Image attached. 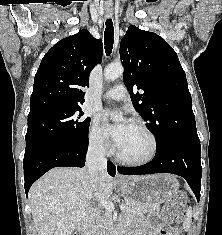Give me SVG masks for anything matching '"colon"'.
I'll use <instances>...</instances> for the list:
<instances>
[{
	"instance_id": "5ec220e1",
	"label": "colon",
	"mask_w": 222,
	"mask_h": 235,
	"mask_svg": "<svg viewBox=\"0 0 222 235\" xmlns=\"http://www.w3.org/2000/svg\"><path fill=\"white\" fill-rule=\"evenodd\" d=\"M185 216V201L181 195L170 198L163 206V218L167 224ZM162 235H177L175 232L162 231Z\"/></svg>"
}]
</instances>
